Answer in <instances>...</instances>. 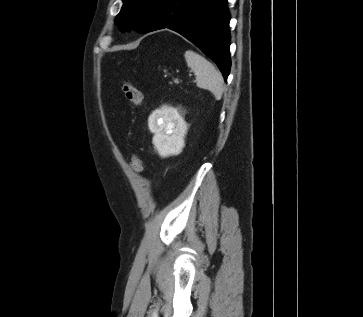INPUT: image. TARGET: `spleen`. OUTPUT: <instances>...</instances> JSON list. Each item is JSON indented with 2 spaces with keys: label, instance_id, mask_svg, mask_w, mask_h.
<instances>
[{
  "label": "spleen",
  "instance_id": "spleen-1",
  "mask_svg": "<svg viewBox=\"0 0 363 317\" xmlns=\"http://www.w3.org/2000/svg\"><path fill=\"white\" fill-rule=\"evenodd\" d=\"M188 67L196 75L199 88L207 89L219 99L223 94V76L214 65L198 53L187 50L184 54Z\"/></svg>",
  "mask_w": 363,
  "mask_h": 317
}]
</instances>
